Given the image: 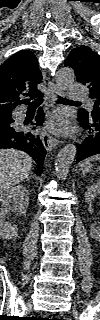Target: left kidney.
<instances>
[{"mask_svg":"<svg viewBox=\"0 0 100 320\" xmlns=\"http://www.w3.org/2000/svg\"><path fill=\"white\" fill-rule=\"evenodd\" d=\"M100 195V185L93 184L90 186L85 193V202L90 205L93 203L94 199ZM91 235L98 239L100 236V229L96 223L91 225Z\"/></svg>","mask_w":100,"mask_h":320,"instance_id":"obj_1","label":"left kidney"}]
</instances>
